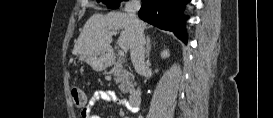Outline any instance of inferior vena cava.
<instances>
[{
    "mask_svg": "<svg viewBox=\"0 0 273 118\" xmlns=\"http://www.w3.org/2000/svg\"><path fill=\"white\" fill-rule=\"evenodd\" d=\"M140 7L141 3L139 0H131L125 6V10L127 11L134 27V35L130 47V54L133 66L138 73H141L146 69L144 57L145 54L144 30L141 26L140 20L136 16V13L140 9Z\"/></svg>",
    "mask_w": 273,
    "mask_h": 118,
    "instance_id": "obj_1",
    "label": "inferior vena cava"
}]
</instances>
